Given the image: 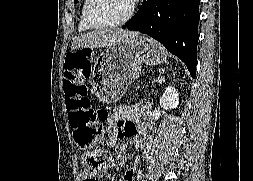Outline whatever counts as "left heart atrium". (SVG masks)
<instances>
[{"mask_svg":"<svg viewBox=\"0 0 253 181\" xmlns=\"http://www.w3.org/2000/svg\"><path fill=\"white\" fill-rule=\"evenodd\" d=\"M132 2H135L136 0H131Z\"/></svg>","mask_w":253,"mask_h":181,"instance_id":"39dd6f15","label":"left heart atrium"}]
</instances>
